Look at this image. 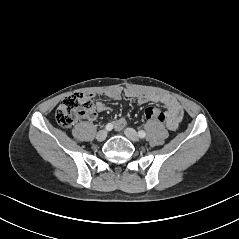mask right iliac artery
Instances as JSON below:
<instances>
[{
  "instance_id": "right-iliac-artery-1",
  "label": "right iliac artery",
  "mask_w": 239,
  "mask_h": 239,
  "mask_svg": "<svg viewBox=\"0 0 239 239\" xmlns=\"http://www.w3.org/2000/svg\"><path fill=\"white\" fill-rule=\"evenodd\" d=\"M105 129H106L107 131H111V130L113 129V124H112V123H108V124L106 125Z\"/></svg>"
}]
</instances>
